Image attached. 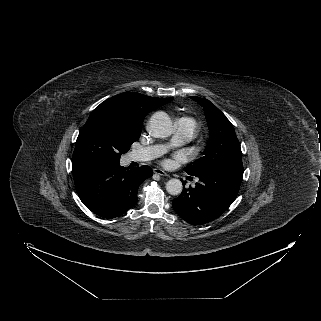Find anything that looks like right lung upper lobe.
Here are the masks:
<instances>
[{
    "label": "right lung upper lobe",
    "mask_w": 321,
    "mask_h": 321,
    "mask_svg": "<svg viewBox=\"0 0 321 321\" xmlns=\"http://www.w3.org/2000/svg\"><path fill=\"white\" fill-rule=\"evenodd\" d=\"M172 100L173 98H156L136 92H124L107 99L99 107L110 108L118 112L130 124L141 127L149 112Z\"/></svg>",
    "instance_id": "1"
}]
</instances>
